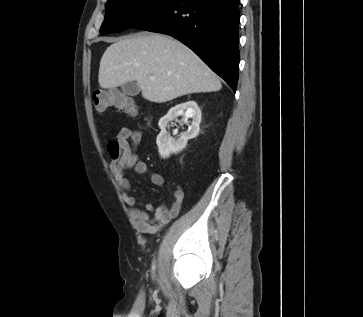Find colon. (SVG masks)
Wrapping results in <instances>:
<instances>
[{"label": "colon", "instance_id": "1", "mask_svg": "<svg viewBox=\"0 0 363 317\" xmlns=\"http://www.w3.org/2000/svg\"><path fill=\"white\" fill-rule=\"evenodd\" d=\"M92 105L99 113L105 112L110 107H115L131 115L136 113V106L133 99L118 91L95 90L92 93ZM107 148L114 160L120 158L122 147L118 138L109 141Z\"/></svg>", "mask_w": 363, "mask_h": 317}]
</instances>
